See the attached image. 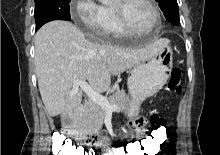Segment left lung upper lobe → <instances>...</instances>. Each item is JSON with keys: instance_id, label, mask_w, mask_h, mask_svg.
<instances>
[{"instance_id": "1", "label": "left lung upper lobe", "mask_w": 220, "mask_h": 155, "mask_svg": "<svg viewBox=\"0 0 220 155\" xmlns=\"http://www.w3.org/2000/svg\"><path fill=\"white\" fill-rule=\"evenodd\" d=\"M159 7L164 13V16L168 22L173 19L179 18V9L177 0H156Z\"/></svg>"}]
</instances>
